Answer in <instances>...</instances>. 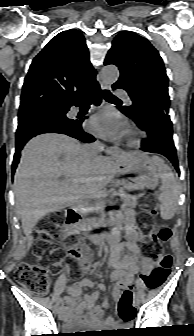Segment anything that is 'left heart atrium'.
I'll return each instance as SVG.
<instances>
[{"label":"left heart atrium","mask_w":194,"mask_h":336,"mask_svg":"<svg viewBox=\"0 0 194 336\" xmlns=\"http://www.w3.org/2000/svg\"><path fill=\"white\" fill-rule=\"evenodd\" d=\"M89 129L101 138L117 140L125 132V120L116 111L104 109L91 118Z\"/></svg>","instance_id":"obj_1"}]
</instances>
